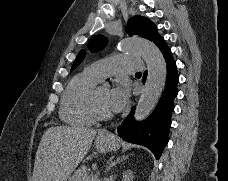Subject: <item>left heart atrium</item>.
<instances>
[{"mask_svg": "<svg viewBox=\"0 0 228 181\" xmlns=\"http://www.w3.org/2000/svg\"><path fill=\"white\" fill-rule=\"evenodd\" d=\"M127 93L128 85L126 83H120L112 89L109 98V107L112 111H120L123 108Z\"/></svg>", "mask_w": 228, "mask_h": 181, "instance_id": "obj_1", "label": "left heart atrium"}]
</instances>
